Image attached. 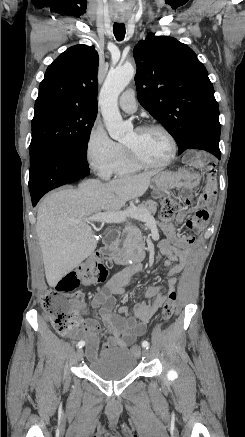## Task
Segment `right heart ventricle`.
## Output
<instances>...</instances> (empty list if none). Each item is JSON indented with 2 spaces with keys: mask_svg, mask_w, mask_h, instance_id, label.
Instances as JSON below:
<instances>
[{
  "mask_svg": "<svg viewBox=\"0 0 245 437\" xmlns=\"http://www.w3.org/2000/svg\"><path fill=\"white\" fill-rule=\"evenodd\" d=\"M141 168L142 167L135 165L127 158L124 149L121 146L120 155L113 167L112 174L115 176L129 175L140 171Z\"/></svg>",
  "mask_w": 245,
  "mask_h": 437,
  "instance_id": "e07e8e85",
  "label": "right heart ventricle"
}]
</instances>
